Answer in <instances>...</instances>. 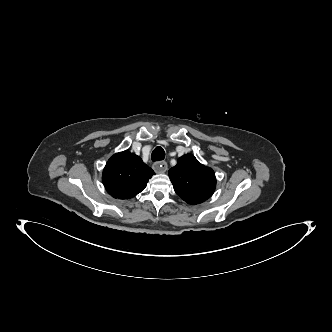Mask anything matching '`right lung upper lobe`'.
Segmentation results:
<instances>
[{"instance_id":"right-lung-upper-lobe-1","label":"right lung upper lobe","mask_w":332,"mask_h":332,"mask_svg":"<svg viewBox=\"0 0 332 332\" xmlns=\"http://www.w3.org/2000/svg\"><path fill=\"white\" fill-rule=\"evenodd\" d=\"M154 171L128 150L114 154L103 170V184L114 198L129 199L140 193Z\"/></svg>"}]
</instances>
